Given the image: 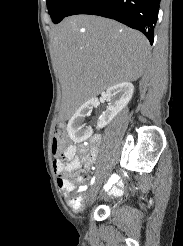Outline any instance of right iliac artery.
Masks as SVG:
<instances>
[{
    "label": "right iliac artery",
    "instance_id": "obj_1",
    "mask_svg": "<svg viewBox=\"0 0 183 246\" xmlns=\"http://www.w3.org/2000/svg\"><path fill=\"white\" fill-rule=\"evenodd\" d=\"M117 181H118V177H117L116 175H113V176L111 177V179L109 180L108 184H106V185L104 186V188H105L106 190H108V189L111 187V185H112L113 183L117 182ZM94 182H95V177L92 178V180H91V182H90V185H93Z\"/></svg>",
    "mask_w": 183,
    "mask_h": 246
}]
</instances>
